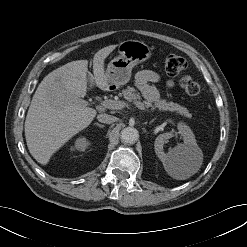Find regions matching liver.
Here are the masks:
<instances>
[{"mask_svg":"<svg viewBox=\"0 0 247 247\" xmlns=\"http://www.w3.org/2000/svg\"><path fill=\"white\" fill-rule=\"evenodd\" d=\"M116 48L110 45L93 58L91 81L108 90L104 60ZM88 61L69 62L50 72L38 85L25 120V138L32 157L46 165L53 153L85 129L97 111L82 100L88 90ZM92 85V84H91Z\"/></svg>","mask_w":247,"mask_h":247,"instance_id":"obj_1","label":"liver"}]
</instances>
